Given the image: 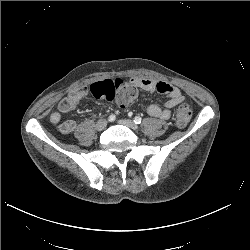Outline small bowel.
<instances>
[{
	"instance_id": "obj_1",
	"label": "small bowel",
	"mask_w": 250,
	"mask_h": 250,
	"mask_svg": "<svg viewBox=\"0 0 250 250\" xmlns=\"http://www.w3.org/2000/svg\"><path fill=\"white\" fill-rule=\"evenodd\" d=\"M121 87L132 88L135 92L137 90H144L148 92L157 91L168 96L164 108L157 105H150L146 112L149 116L167 120L171 116V109L184 100V96L178 87L173 86L167 82L156 81L149 78H132L129 83H124L121 80H116ZM88 88L71 92L67 97L62 99L58 104V111L53 112L50 116L52 124L57 126L61 134H70L76 128V123L73 120L62 121V113L73 111L88 95Z\"/></svg>"
}]
</instances>
